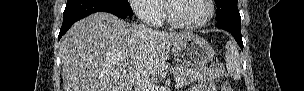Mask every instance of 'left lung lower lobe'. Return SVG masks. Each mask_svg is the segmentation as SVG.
<instances>
[{"mask_svg": "<svg viewBox=\"0 0 304 91\" xmlns=\"http://www.w3.org/2000/svg\"><path fill=\"white\" fill-rule=\"evenodd\" d=\"M241 17L239 13L230 15L222 20L217 21L216 27L229 31L235 38L236 42L243 50V41L240 30Z\"/></svg>", "mask_w": 304, "mask_h": 91, "instance_id": "0a47b994", "label": "left lung lower lobe"}]
</instances>
